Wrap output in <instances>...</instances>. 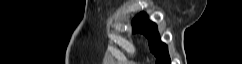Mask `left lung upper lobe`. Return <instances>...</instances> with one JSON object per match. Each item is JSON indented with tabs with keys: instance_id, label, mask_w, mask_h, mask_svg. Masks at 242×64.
<instances>
[{
	"instance_id": "5c2ea615",
	"label": "left lung upper lobe",
	"mask_w": 242,
	"mask_h": 64,
	"mask_svg": "<svg viewBox=\"0 0 242 64\" xmlns=\"http://www.w3.org/2000/svg\"><path fill=\"white\" fill-rule=\"evenodd\" d=\"M133 32L143 33L149 42L151 52L156 56V64H171L168 47L161 42L157 25L148 20L146 13L138 14L132 21Z\"/></svg>"
}]
</instances>
